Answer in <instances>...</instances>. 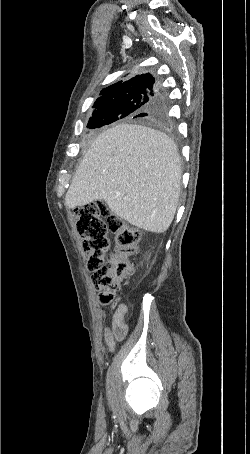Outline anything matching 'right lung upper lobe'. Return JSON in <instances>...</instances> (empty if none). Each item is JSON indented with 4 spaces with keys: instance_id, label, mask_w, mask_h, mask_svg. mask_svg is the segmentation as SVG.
Listing matches in <instances>:
<instances>
[{
    "instance_id": "1",
    "label": "right lung upper lobe",
    "mask_w": 250,
    "mask_h": 454,
    "mask_svg": "<svg viewBox=\"0 0 250 454\" xmlns=\"http://www.w3.org/2000/svg\"><path fill=\"white\" fill-rule=\"evenodd\" d=\"M155 82H156L155 78L150 73L137 75L133 78H130V79H127L124 81H119V82L103 89L101 91V97H99L97 100L112 97V96H118L119 94L126 92L137 86L155 85Z\"/></svg>"
}]
</instances>
